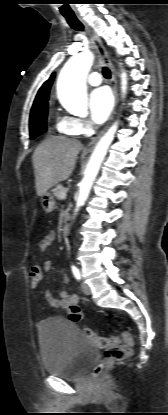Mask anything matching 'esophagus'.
Instances as JSON below:
<instances>
[{"instance_id":"obj_1","label":"esophagus","mask_w":168,"mask_h":415,"mask_svg":"<svg viewBox=\"0 0 168 415\" xmlns=\"http://www.w3.org/2000/svg\"><path fill=\"white\" fill-rule=\"evenodd\" d=\"M78 19L81 21V23L84 25L88 35L90 36L98 54H99V58L101 63L107 65L110 69L111 72V85H112V89H113V94H114V109L113 112L110 116V119L108 121V123L106 124V126L103 128V130L96 136L94 137L85 147L86 151H91L94 149L95 145L97 144L98 140L101 138V136L104 134V132L106 131L110 121L112 120L114 114H115V110H116V106L118 103V91H117V73L116 70L111 62V60L109 59L108 56V52L106 50V48L104 47L102 40L100 39V37L95 33V31L80 17L78 16Z\"/></svg>"}]
</instances>
